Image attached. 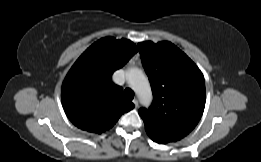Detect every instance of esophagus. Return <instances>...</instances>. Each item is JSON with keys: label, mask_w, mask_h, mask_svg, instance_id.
<instances>
[{"label": "esophagus", "mask_w": 261, "mask_h": 162, "mask_svg": "<svg viewBox=\"0 0 261 162\" xmlns=\"http://www.w3.org/2000/svg\"><path fill=\"white\" fill-rule=\"evenodd\" d=\"M133 104H134L135 108L137 109L138 106H139L138 100H137V99H134V100H133Z\"/></svg>", "instance_id": "obj_1"}]
</instances>
